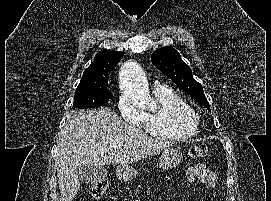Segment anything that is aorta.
<instances>
[{
  "instance_id": "1",
  "label": "aorta",
  "mask_w": 271,
  "mask_h": 201,
  "mask_svg": "<svg viewBox=\"0 0 271 201\" xmlns=\"http://www.w3.org/2000/svg\"><path fill=\"white\" fill-rule=\"evenodd\" d=\"M121 84L124 91L144 108H152L154 100L140 66L135 62H127L121 67Z\"/></svg>"
}]
</instances>
